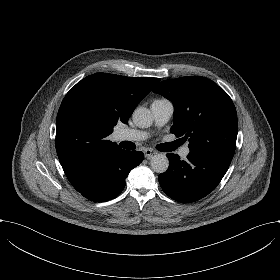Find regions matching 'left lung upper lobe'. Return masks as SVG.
<instances>
[{
    "label": "left lung upper lobe",
    "mask_w": 280,
    "mask_h": 280,
    "mask_svg": "<svg viewBox=\"0 0 280 280\" xmlns=\"http://www.w3.org/2000/svg\"><path fill=\"white\" fill-rule=\"evenodd\" d=\"M153 92L174 105L171 133L189 140L190 152L232 160L238 132L229 95L205 77H181L159 83Z\"/></svg>",
    "instance_id": "obj_1"
}]
</instances>
